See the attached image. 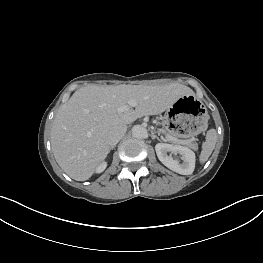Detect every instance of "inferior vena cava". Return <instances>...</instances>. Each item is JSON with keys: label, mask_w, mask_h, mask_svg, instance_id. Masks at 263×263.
<instances>
[{"label": "inferior vena cava", "mask_w": 263, "mask_h": 263, "mask_svg": "<svg viewBox=\"0 0 263 263\" xmlns=\"http://www.w3.org/2000/svg\"><path fill=\"white\" fill-rule=\"evenodd\" d=\"M127 126H122L114 129L108 136V144L114 147L120 139L125 135Z\"/></svg>", "instance_id": "obj_1"}]
</instances>
